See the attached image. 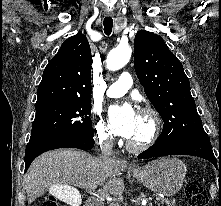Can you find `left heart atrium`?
Here are the masks:
<instances>
[{"instance_id":"left-heart-atrium-1","label":"left heart atrium","mask_w":221,"mask_h":206,"mask_svg":"<svg viewBox=\"0 0 221 206\" xmlns=\"http://www.w3.org/2000/svg\"><path fill=\"white\" fill-rule=\"evenodd\" d=\"M138 114L130 104L111 106L108 118L111 129L117 135L130 139L137 127Z\"/></svg>"}]
</instances>
